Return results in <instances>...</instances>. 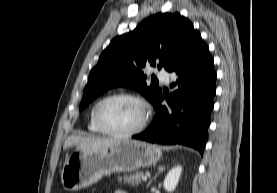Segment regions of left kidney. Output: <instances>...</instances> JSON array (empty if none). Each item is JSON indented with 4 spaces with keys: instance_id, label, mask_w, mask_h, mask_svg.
<instances>
[{
    "instance_id": "5707ae66",
    "label": "left kidney",
    "mask_w": 277,
    "mask_h": 193,
    "mask_svg": "<svg viewBox=\"0 0 277 193\" xmlns=\"http://www.w3.org/2000/svg\"><path fill=\"white\" fill-rule=\"evenodd\" d=\"M182 169L181 165L174 166L166 175L164 179V188L167 192H173L176 189Z\"/></svg>"
}]
</instances>
